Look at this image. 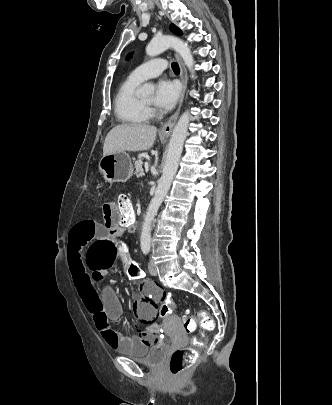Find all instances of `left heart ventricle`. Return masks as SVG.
Instances as JSON below:
<instances>
[{"mask_svg": "<svg viewBox=\"0 0 332 405\" xmlns=\"http://www.w3.org/2000/svg\"><path fill=\"white\" fill-rule=\"evenodd\" d=\"M153 100H154L153 96H150V97H148V98H145V99H144V102H145V103H148V104H151V103L153 102Z\"/></svg>", "mask_w": 332, "mask_h": 405, "instance_id": "obj_1", "label": "left heart ventricle"}]
</instances>
